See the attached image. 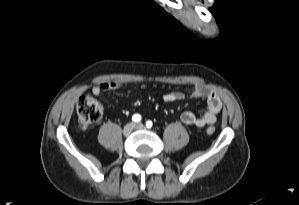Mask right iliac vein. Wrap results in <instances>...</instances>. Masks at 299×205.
<instances>
[{
  "mask_svg": "<svg viewBox=\"0 0 299 205\" xmlns=\"http://www.w3.org/2000/svg\"><path fill=\"white\" fill-rule=\"evenodd\" d=\"M134 127H135V125L133 123L127 124L123 129V134L125 136L130 135V133L133 131Z\"/></svg>",
  "mask_w": 299,
  "mask_h": 205,
  "instance_id": "63e3f726",
  "label": "right iliac vein"
}]
</instances>
